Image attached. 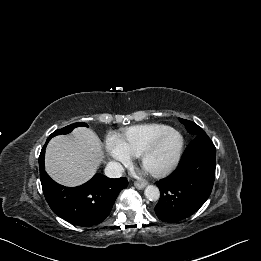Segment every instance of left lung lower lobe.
<instances>
[{
	"mask_svg": "<svg viewBox=\"0 0 261 261\" xmlns=\"http://www.w3.org/2000/svg\"><path fill=\"white\" fill-rule=\"evenodd\" d=\"M215 167V146L201 133L187 146L177 170L157 182L161 194L155 207L158 218L174 223L196 212L211 193Z\"/></svg>",
	"mask_w": 261,
	"mask_h": 261,
	"instance_id": "left-lung-lower-lobe-1",
	"label": "left lung lower lobe"
}]
</instances>
